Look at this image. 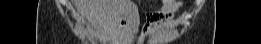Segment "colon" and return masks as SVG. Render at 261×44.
<instances>
[{
    "label": "colon",
    "instance_id": "5ec220e1",
    "mask_svg": "<svg viewBox=\"0 0 261 44\" xmlns=\"http://www.w3.org/2000/svg\"><path fill=\"white\" fill-rule=\"evenodd\" d=\"M169 4H171L172 6H177V5H178V2H177V1H172V0L163 1V2H162V5H163V6H168Z\"/></svg>",
    "mask_w": 261,
    "mask_h": 44
}]
</instances>
